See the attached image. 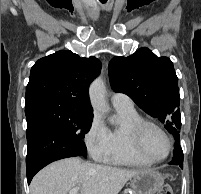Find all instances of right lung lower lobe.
<instances>
[{
	"label": "right lung lower lobe",
	"mask_w": 201,
	"mask_h": 194,
	"mask_svg": "<svg viewBox=\"0 0 201 194\" xmlns=\"http://www.w3.org/2000/svg\"><path fill=\"white\" fill-rule=\"evenodd\" d=\"M26 135L28 184L33 176L49 163L67 157L79 156L86 150L82 139L44 119H35L27 123Z\"/></svg>",
	"instance_id": "obj_1"
}]
</instances>
